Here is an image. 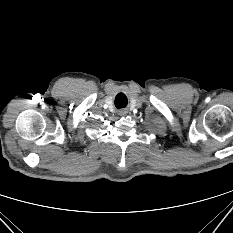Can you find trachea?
Listing matches in <instances>:
<instances>
[{
  "mask_svg": "<svg viewBox=\"0 0 233 233\" xmlns=\"http://www.w3.org/2000/svg\"><path fill=\"white\" fill-rule=\"evenodd\" d=\"M115 105L117 108L125 107L127 105L126 96L122 93L118 94L115 100Z\"/></svg>",
  "mask_w": 233,
  "mask_h": 233,
  "instance_id": "obj_1",
  "label": "trachea"
}]
</instances>
